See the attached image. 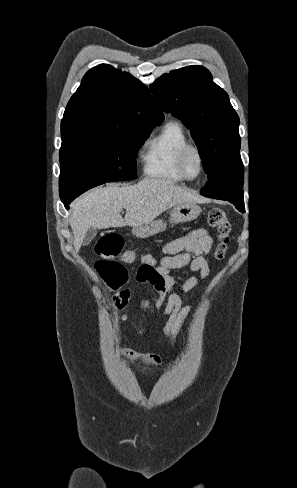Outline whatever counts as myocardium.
Returning a JSON list of instances; mask_svg holds the SVG:
<instances>
[{
    "label": "myocardium",
    "instance_id": "myocardium-1",
    "mask_svg": "<svg viewBox=\"0 0 297 488\" xmlns=\"http://www.w3.org/2000/svg\"><path fill=\"white\" fill-rule=\"evenodd\" d=\"M190 153H195L199 159V166L200 167H199V171H198L197 175H195V176L189 175V173L187 172V169H186V159ZM204 167H205L204 156H203L201 150L197 146L192 145V144H188L180 150L178 157H177V168H178V171L180 172V174L184 177V179L190 180V181L198 179L203 174Z\"/></svg>",
    "mask_w": 297,
    "mask_h": 488
}]
</instances>
